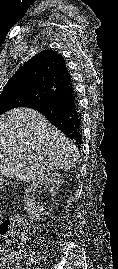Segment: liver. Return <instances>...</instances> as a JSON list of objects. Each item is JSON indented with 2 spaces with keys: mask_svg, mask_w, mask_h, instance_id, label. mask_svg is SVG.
<instances>
[{
  "mask_svg": "<svg viewBox=\"0 0 118 269\" xmlns=\"http://www.w3.org/2000/svg\"><path fill=\"white\" fill-rule=\"evenodd\" d=\"M77 147L39 112L16 108L0 116V173L30 182L76 166Z\"/></svg>",
  "mask_w": 118,
  "mask_h": 269,
  "instance_id": "liver-1",
  "label": "liver"
}]
</instances>
